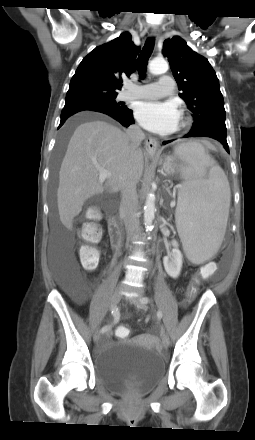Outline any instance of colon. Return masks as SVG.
<instances>
[{
  "mask_svg": "<svg viewBox=\"0 0 255 440\" xmlns=\"http://www.w3.org/2000/svg\"><path fill=\"white\" fill-rule=\"evenodd\" d=\"M98 217L95 210L88 212V218L90 222L84 224L80 229V237L83 240V244L79 247V256L81 264L85 269L91 270L97 267L100 257L99 249L94 245L101 238L100 228L93 222ZM198 290V284L190 287L186 291V298L192 300ZM116 335L119 338H127L130 336V329L126 326H119L116 329Z\"/></svg>",
  "mask_w": 255,
  "mask_h": 440,
  "instance_id": "colon-1",
  "label": "colon"
}]
</instances>
